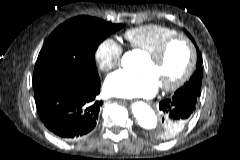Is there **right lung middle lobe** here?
<instances>
[{"mask_svg":"<svg viewBox=\"0 0 240 160\" xmlns=\"http://www.w3.org/2000/svg\"><path fill=\"white\" fill-rule=\"evenodd\" d=\"M121 28V24L89 16L64 22L45 41L35 64L33 82L52 74L76 81L98 77L93 54L107 36Z\"/></svg>","mask_w":240,"mask_h":160,"instance_id":"right-lung-middle-lobe-1","label":"right lung middle lobe"}]
</instances>
